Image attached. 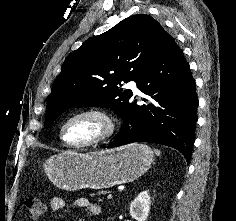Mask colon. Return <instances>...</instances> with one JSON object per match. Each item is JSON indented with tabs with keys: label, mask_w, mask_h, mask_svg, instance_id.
<instances>
[{
	"label": "colon",
	"mask_w": 236,
	"mask_h": 221,
	"mask_svg": "<svg viewBox=\"0 0 236 221\" xmlns=\"http://www.w3.org/2000/svg\"><path fill=\"white\" fill-rule=\"evenodd\" d=\"M25 207L32 220L39 219L45 211V204L41 199L36 197L28 198L25 201Z\"/></svg>",
	"instance_id": "5ec220e1"
}]
</instances>
